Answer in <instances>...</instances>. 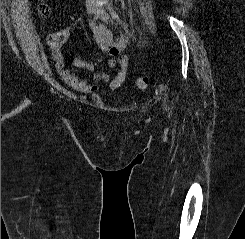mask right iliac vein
I'll use <instances>...</instances> for the list:
<instances>
[{
  "mask_svg": "<svg viewBox=\"0 0 245 239\" xmlns=\"http://www.w3.org/2000/svg\"><path fill=\"white\" fill-rule=\"evenodd\" d=\"M95 12V7L93 5H87V13L93 14Z\"/></svg>",
  "mask_w": 245,
  "mask_h": 239,
  "instance_id": "right-iliac-vein-1",
  "label": "right iliac vein"
}]
</instances>
